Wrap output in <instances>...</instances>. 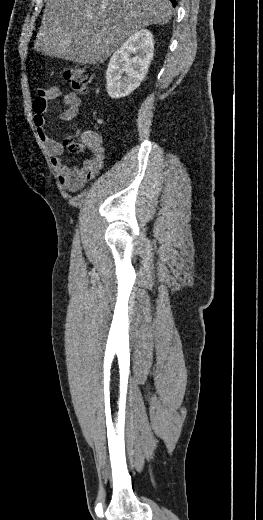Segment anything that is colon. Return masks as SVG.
Listing matches in <instances>:
<instances>
[{"label":"colon","mask_w":263,"mask_h":520,"mask_svg":"<svg viewBox=\"0 0 263 520\" xmlns=\"http://www.w3.org/2000/svg\"><path fill=\"white\" fill-rule=\"evenodd\" d=\"M63 76L74 91L86 93L92 82L93 72L88 66L78 65L65 68L63 70ZM64 145L72 152H80L87 146L84 141L81 142L71 137H67L64 140Z\"/></svg>","instance_id":"obj_1"}]
</instances>
